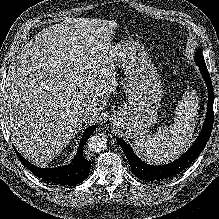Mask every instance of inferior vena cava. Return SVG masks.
<instances>
[{"label": "inferior vena cava", "instance_id": "602c4592", "mask_svg": "<svg viewBox=\"0 0 219 219\" xmlns=\"http://www.w3.org/2000/svg\"><path fill=\"white\" fill-rule=\"evenodd\" d=\"M80 117L82 119L95 118L97 117V113L92 111L91 109H83L80 111Z\"/></svg>", "mask_w": 219, "mask_h": 219}]
</instances>
